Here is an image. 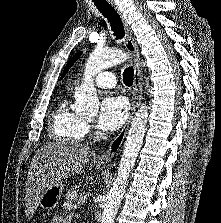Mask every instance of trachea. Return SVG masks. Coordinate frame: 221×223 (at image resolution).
I'll use <instances>...</instances> for the list:
<instances>
[{
    "label": "trachea",
    "mask_w": 221,
    "mask_h": 223,
    "mask_svg": "<svg viewBox=\"0 0 221 223\" xmlns=\"http://www.w3.org/2000/svg\"><path fill=\"white\" fill-rule=\"evenodd\" d=\"M95 6L108 19L111 30L116 39H122L125 35L123 23L116 10L106 0H93ZM134 79L133 67H128L123 72V82L126 86H131Z\"/></svg>",
    "instance_id": "3493384b"
}]
</instances>
